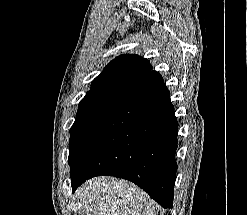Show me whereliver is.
<instances>
[{
    "label": "liver",
    "instance_id": "1",
    "mask_svg": "<svg viewBox=\"0 0 247 215\" xmlns=\"http://www.w3.org/2000/svg\"><path fill=\"white\" fill-rule=\"evenodd\" d=\"M77 195L87 215H156L147 194L123 180L94 178Z\"/></svg>",
    "mask_w": 247,
    "mask_h": 215
}]
</instances>
